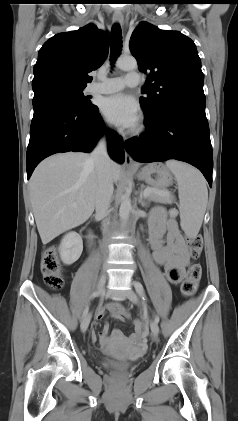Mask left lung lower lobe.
<instances>
[{
	"label": "left lung lower lobe",
	"mask_w": 238,
	"mask_h": 421,
	"mask_svg": "<svg viewBox=\"0 0 238 421\" xmlns=\"http://www.w3.org/2000/svg\"><path fill=\"white\" fill-rule=\"evenodd\" d=\"M147 132L125 143L137 162L176 159L197 167L212 186L213 153L205 114V95L170 102L154 118L145 117Z\"/></svg>",
	"instance_id": "obj_1"
}]
</instances>
